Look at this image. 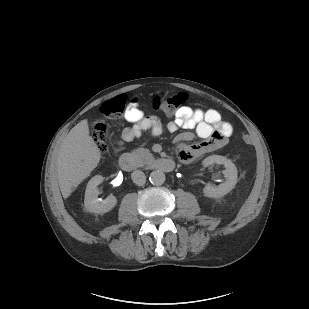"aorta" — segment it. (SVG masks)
<instances>
[{"label":"aorta","mask_w":309,"mask_h":309,"mask_svg":"<svg viewBox=\"0 0 309 309\" xmlns=\"http://www.w3.org/2000/svg\"><path fill=\"white\" fill-rule=\"evenodd\" d=\"M149 180L153 185H162L165 182V174L159 170L152 171Z\"/></svg>","instance_id":"aorta-1"}]
</instances>
